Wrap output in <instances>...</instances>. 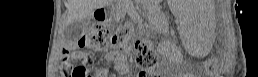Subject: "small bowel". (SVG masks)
Masks as SVG:
<instances>
[{
    "label": "small bowel",
    "instance_id": "c3829d8e",
    "mask_svg": "<svg viewBox=\"0 0 258 77\" xmlns=\"http://www.w3.org/2000/svg\"><path fill=\"white\" fill-rule=\"evenodd\" d=\"M120 53H115V54H109L108 55V60L113 62L115 71H120L122 69V63L120 61H116L115 59L119 57Z\"/></svg>",
    "mask_w": 258,
    "mask_h": 77
}]
</instances>
